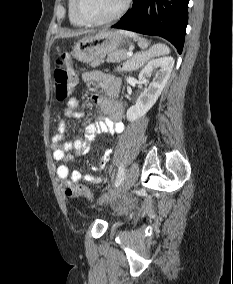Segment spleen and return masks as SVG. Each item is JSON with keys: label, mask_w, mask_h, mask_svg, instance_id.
<instances>
[{"label": "spleen", "mask_w": 233, "mask_h": 284, "mask_svg": "<svg viewBox=\"0 0 233 284\" xmlns=\"http://www.w3.org/2000/svg\"><path fill=\"white\" fill-rule=\"evenodd\" d=\"M126 36L133 38L135 41L138 42L139 47L142 50L147 49L149 42L147 39L138 36L136 33L125 31L123 32ZM170 52V49L162 43H157L153 45L149 50L139 54L138 59L145 62L147 59H150L155 56L164 55Z\"/></svg>", "instance_id": "3e777b00"}]
</instances>
